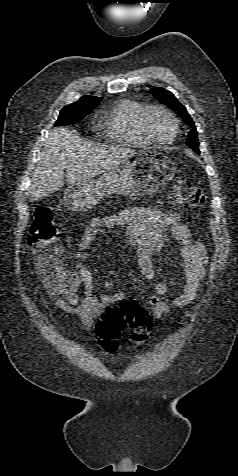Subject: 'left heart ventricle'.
Returning <instances> with one entry per match:
<instances>
[{
  "label": "left heart ventricle",
  "mask_w": 238,
  "mask_h": 476,
  "mask_svg": "<svg viewBox=\"0 0 238 476\" xmlns=\"http://www.w3.org/2000/svg\"><path fill=\"white\" fill-rule=\"evenodd\" d=\"M148 127L152 135L159 140L169 139L174 131L171 119L162 111H153L148 118Z\"/></svg>",
  "instance_id": "b2bd125f"
}]
</instances>
